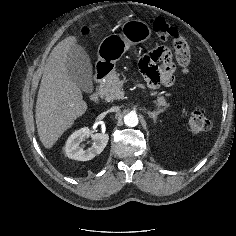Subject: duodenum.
<instances>
[{
    "label": "duodenum",
    "instance_id": "410a0bca",
    "mask_svg": "<svg viewBox=\"0 0 236 236\" xmlns=\"http://www.w3.org/2000/svg\"><path fill=\"white\" fill-rule=\"evenodd\" d=\"M110 67H108L106 64H102L97 68L96 74L94 76V86L97 88L100 83L103 81L104 77L107 75V73L110 71ZM91 99L94 102H98L99 101V94L97 93V91H94L91 94Z\"/></svg>",
    "mask_w": 236,
    "mask_h": 236
}]
</instances>
